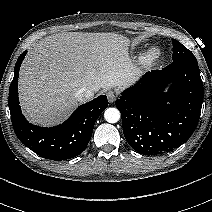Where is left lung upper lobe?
<instances>
[{
    "mask_svg": "<svg viewBox=\"0 0 212 212\" xmlns=\"http://www.w3.org/2000/svg\"><path fill=\"white\" fill-rule=\"evenodd\" d=\"M173 42V55L172 59L175 63L180 62H197L196 58L190 50L184 47L180 42L172 39Z\"/></svg>",
    "mask_w": 212,
    "mask_h": 212,
    "instance_id": "1",
    "label": "left lung upper lobe"
}]
</instances>
